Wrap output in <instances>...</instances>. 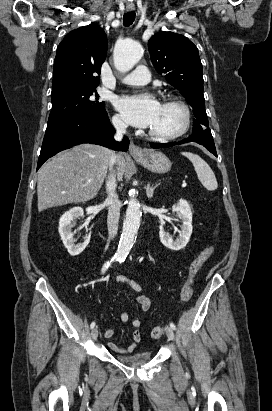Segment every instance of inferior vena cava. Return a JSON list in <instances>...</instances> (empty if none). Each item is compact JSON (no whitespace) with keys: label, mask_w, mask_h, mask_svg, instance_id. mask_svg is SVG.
Wrapping results in <instances>:
<instances>
[{"label":"inferior vena cava","mask_w":272,"mask_h":411,"mask_svg":"<svg viewBox=\"0 0 272 411\" xmlns=\"http://www.w3.org/2000/svg\"><path fill=\"white\" fill-rule=\"evenodd\" d=\"M113 126L116 129L115 139L121 140L123 135L126 133L127 125L118 117H114L112 119ZM116 155L112 153L109 165V175L106 181V192L107 198L105 200V204L108 205V218H107V226H108V237L109 239H113L118 231V223H119V216H120V202L118 200V195L116 193V173L113 171V166L116 163Z\"/></svg>","instance_id":"inferior-vena-cava-1"}]
</instances>
